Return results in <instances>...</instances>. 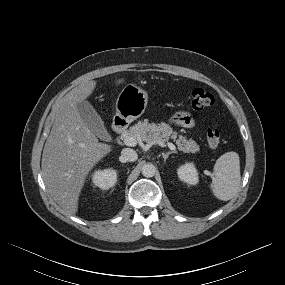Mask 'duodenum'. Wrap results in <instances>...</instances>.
<instances>
[{
  "mask_svg": "<svg viewBox=\"0 0 285 285\" xmlns=\"http://www.w3.org/2000/svg\"><path fill=\"white\" fill-rule=\"evenodd\" d=\"M127 121L121 117H117L113 123V129L117 134H123L127 129Z\"/></svg>",
  "mask_w": 285,
  "mask_h": 285,
  "instance_id": "obj_1",
  "label": "duodenum"
}]
</instances>
